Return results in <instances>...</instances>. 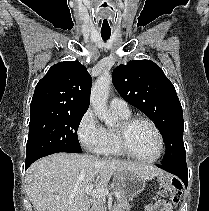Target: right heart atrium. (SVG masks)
I'll use <instances>...</instances> for the list:
<instances>
[{
    "instance_id": "1",
    "label": "right heart atrium",
    "mask_w": 209,
    "mask_h": 211,
    "mask_svg": "<svg viewBox=\"0 0 209 211\" xmlns=\"http://www.w3.org/2000/svg\"><path fill=\"white\" fill-rule=\"evenodd\" d=\"M104 127L91 109L85 111L78 126L77 136L81 145L88 151L97 152L104 140Z\"/></svg>"
}]
</instances>
